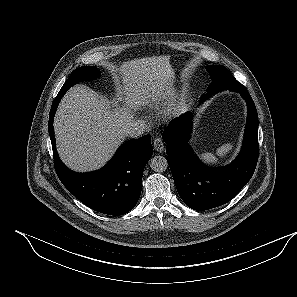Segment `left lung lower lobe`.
<instances>
[{"instance_id": "1", "label": "left lung lower lobe", "mask_w": 297, "mask_h": 297, "mask_svg": "<svg viewBox=\"0 0 297 297\" xmlns=\"http://www.w3.org/2000/svg\"><path fill=\"white\" fill-rule=\"evenodd\" d=\"M238 93L247 103V123L241 152L230 165L210 168L194 155L188 145L189 113L173 119L163 132L167 161L177 191L191 209L203 211L227 203L247 184L255 171L259 153L257 110L247 90Z\"/></svg>"}]
</instances>
